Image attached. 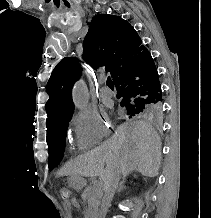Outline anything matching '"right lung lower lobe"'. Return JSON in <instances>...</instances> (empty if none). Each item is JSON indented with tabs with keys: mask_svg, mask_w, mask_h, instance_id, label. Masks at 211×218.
<instances>
[{
	"mask_svg": "<svg viewBox=\"0 0 211 218\" xmlns=\"http://www.w3.org/2000/svg\"><path fill=\"white\" fill-rule=\"evenodd\" d=\"M118 98L162 100V91L156 66L148 50L123 67L113 79Z\"/></svg>",
	"mask_w": 211,
	"mask_h": 218,
	"instance_id": "1",
	"label": "right lung lower lobe"
}]
</instances>
